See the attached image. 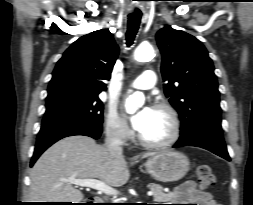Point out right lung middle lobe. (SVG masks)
Masks as SVG:
<instances>
[{"instance_id":"right-lung-middle-lobe-1","label":"right lung middle lobe","mask_w":253,"mask_h":205,"mask_svg":"<svg viewBox=\"0 0 253 205\" xmlns=\"http://www.w3.org/2000/svg\"><path fill=\"white\" fill-rule=\"evenodd\" d=\"M73 122L102 126L103 104L98 95H72L47 101L42 124Z\"/></svg>"}]
</instances>
